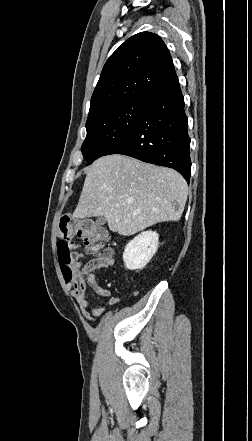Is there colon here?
<instances>
[{
  "label": "colon",
  "instance_id": "1",
  "mask_svg": "<svg viewBox=\"0 0 252 441\" xmlns=\"http://www.w3.org/2000/svg\"><path fill=\"white\" fill-rule=\"evenodd\" d=\"M72 236L79 237L89 252L101 251L108 240L106 231L93 220L77 219L71 214L61 217L57 253L62 274L67 282L76 281L80 276L78 259L74 253L78 245L70 241Z\"/></svg>",
  "mask_w": 252,
  "mask_h": 441
}]
</instances>
